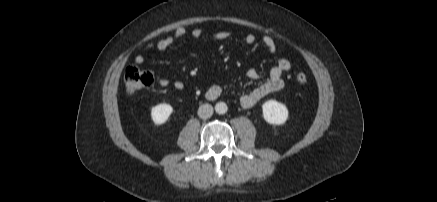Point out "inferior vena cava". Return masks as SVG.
<instances>
[{"instance_id": "1", "label": "inferior vena cava", "mask_w": 437, "mask_h": 202, "mask_svg": "<svg viewBox=\"0 0 437 202\" xmlns=\"http://www.w3.org/2000/svg\"><path fill=\"white\" fill-rule=\"evenodd\" d=\"M213 114V107L210 104H203L198 109V116L202 119L210 118Z\"/></svg>"}]
</instances>
